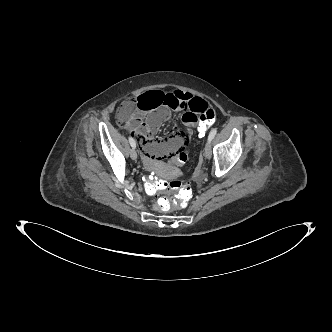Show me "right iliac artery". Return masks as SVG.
Wrapping results in <instances>:
<instances>
[{
    "label": "right iliac artery",
    "mask_w": 332,
    "mask_h": 332,
    "mask_svg": "<svg viewBox=\"0 0 332 332\" xmlns=\"http://www.w3.org/2000/svg\"><path fill=\"white\" fill-rule=\"evenodd\" d=\"M129 143H130V145H131V147L132 148H135L136 147V142H135V140L131 137V136H129Z\"/></svg>",
    "instance_id": "right-iliac-artery-1"
}]
</instances>
